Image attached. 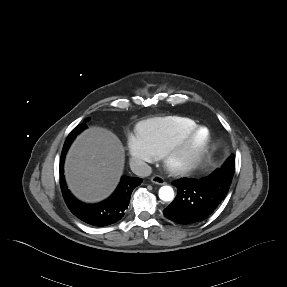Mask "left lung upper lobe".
I'll use <instances>...</instances> for the list:
<instances>
[{
    "instance_id": "5c2ea615",
    "label": "left lung upper lobe",
    "mask_w": 287,
    "mask_h": 287,
    "mask_svg": "<svg viewBox=\"0 0 287 287\" xmlns=\"http://www.w3.org/2000/svg\"><path fill=\"white\" fill-rule=\"evenodd\" d=\"M222 168L226 169L228 174H230L231 176L233 175V170H234V155L233 154L229 157V159L227 160V162L224 164Z\"/></svg>"
}]
</instances>
